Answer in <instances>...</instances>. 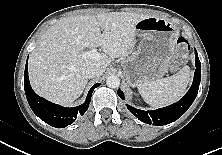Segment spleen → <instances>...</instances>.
<instances>
[{
    "instance_id": "1",
    "label": "spleen",
    "mask_w": 222,
    "mask_h": 155,
    "mask_svg": "<svg viewBox=\"0 0 222 155\" xmlns=\"http://www.w3.org/2000/svg\"><path fill=\"white\" fill-rule=\"evenodd\" d=\"M190 70L184 66L177 74L139 84L138 91L152 107L172 104L182 98L189 83Z\"/></svg>"
}]
</instances>
